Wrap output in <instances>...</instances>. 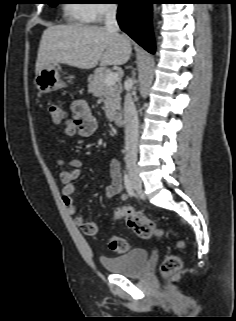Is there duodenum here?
<instances>
[{
    "label": "duodenum",
    "mask_w": 236,
    "mask_h": 321,
    "mask_svg": "<svg viewBox=\"0 0 236 321\" xmlns=\"http://www.w3.org/2000/svg\"><path fill=\"white\" fill-rule=\"evenodd\" d=\"M112 120L117 126H123L124 125V116H123L122 113H115L112 116Z\"/></svg>",
    "instance_id": "duodenum-1"
}]
</instances>
